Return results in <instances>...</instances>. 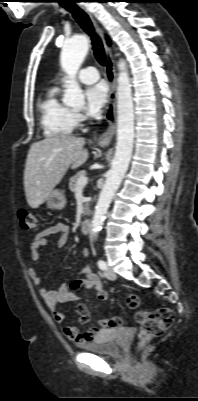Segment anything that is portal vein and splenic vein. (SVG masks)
<instances>
[{
    "label": "portal vein and splenic vein",
    "mask_w": 198,
    "mask_h": 401,
    "mask_svg": "<svg viewBox=\"0 0 198 401\" xmlns=\"http://www.w3.org/2000/svg\"><path fill=\"white\" fill-rule=\"evenodd\" d=\"M88 183V178L86 176H82L78 179L76 188H83Z\"/></svg>",
    "instance_id": "1"
}]
</instances>
